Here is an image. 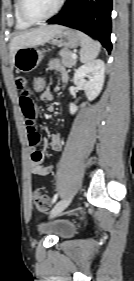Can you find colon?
Here are the masks:
<instances>
[{
    "instance_id": "1",
    "label": "colon",
    "mask_w": 134,
    "mask_h": 281,
    "mask_svg": "<svg viewBox=\"0 0 134 281\" xmlns=\"http://www.w3.org/2000/svg\"><path fill=\"white\" fill-rule=\"evenodd\" d=\"M33 90L42 94L48 88L47 81L43 76H36L33 80ZM33 203L39 211H47L50 206L49 197L43 193L35 192L33 195Z\"/></svg>"
}]
</instances>
